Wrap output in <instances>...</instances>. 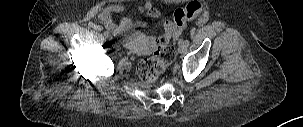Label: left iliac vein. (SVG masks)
<instances>
[{
    "label": "left iliac vein",
    "instance_id": "left-iliac-vein-1",
    "mask_svg": "<svg viewBox=\"0 0 303 127\" xmlns=\"http://www.w3.org/2000/svg\"><path fill=\"white\" fill-rule=\"evenodd\" d=\"M179 46H178V50H179V52L180 53H184L186 50H187V45H186V42H185V40H179Z\"/></svg>",
    "mask_w": 303,
    "mask_h": 127
}]
</instances>
